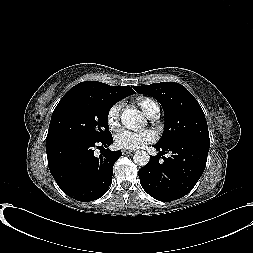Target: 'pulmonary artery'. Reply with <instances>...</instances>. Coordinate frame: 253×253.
Masks as SVG:
<instances>
[{"label": "pulmonary artery", "instance_id": "e3ab8cb5", "mask_svg": "<svg viewBox=\"0 0 253 253\" xmlns=\"http://www.w3.org/2000/svg\"><path fill=\"white\" fill-rule=\"evenodd\" d=\"M158 113H159V106L156 105L148 117L151 119H156L158 117Z\"/></svg>", "mask_w": 253, "mask_h": 253}]
</instances>
